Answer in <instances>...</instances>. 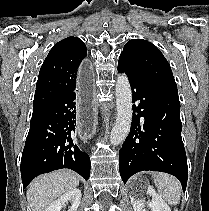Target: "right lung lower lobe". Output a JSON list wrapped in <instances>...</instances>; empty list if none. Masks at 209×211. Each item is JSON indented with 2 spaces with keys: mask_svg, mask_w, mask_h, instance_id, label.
I'll return each mask as SVG.
<instances>
[{
  "mask_svg": "<svg viewBox=\"0 0 209 211\" xmlns=\"http://www.w3.org/2000/svg\"><path fill=\"white\" fill-rule=\"evenodd\" d=\"M76 94L68 92L41 108L31 119L21 159L23 188L36 176L69 168L85 180L90 158L75 143Z\"/></svg>",
  "mask_w": 209,
  "mask_h": 211,
  "instance_id": "obj_1",
  "label": "right lung lower lobe"
}]
</instances>
